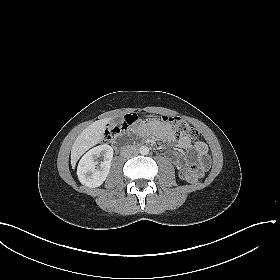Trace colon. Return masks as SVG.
I'll use <instances>...</instances> for the list:
<instances>
[{
	"label": "colon",
	"mask_w": 280,
	"mask_h": 280,
	"mask_svg": "<svg viewBox=\"0 0 280 280\" xmlns=\"http://www.w3.org/2000/svg\"><path fill=\"white\" fill-rule=\"evenodd\" d=\"M137 119L138 118L135 114H130L127 115L120 123L109 125L105 131V140H114L118 134L127 129L130 125L134 124ZM160 120L178 136L195 139L198 135L197 130L191 124L178 116H161ZM180 175L184 180L190 183H196L203 178L204 171L200 166L190 164L180 171Z\"/></svg>",
	"instance_id": "obj_1"
}]
</instances>
